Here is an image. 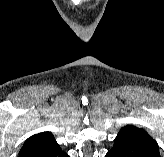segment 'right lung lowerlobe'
I'll return each mask as SVG.
<instances>
[{
  "label": "right lung lower lobe",
  "instance_id": "98d812e1",
  "mask_svg": "<svg viewBox=\"0 0 164 157\" xmlns=\"http://www.w3.org/2000/svg\"><path fill=\"white\" fill-rule=\"evenodd\" d=\"M25 157H70L68 154L62 151L58 143L53 140L40 145Z\"/></svg>",
  "mask_w": 164,
  "mask_h": 157
}]
</instances>
